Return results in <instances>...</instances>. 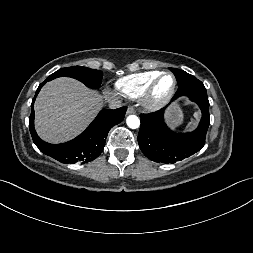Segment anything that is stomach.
Masks as SVG:
<instances>
[{"label":"stomach","instance_id":"obj_1","mask_svg":"<svg viewBox=\"0 0 253 253\" xmlns=\"http://www.w3.org/2000/svg\"><path fill=\"white\" fill-rule=\"evenodd\" d=\"M168 121L173 128L178 127L183 122V113L178 105H174L168 112Z\"/></svg>","mask_w":253,"mask_h":253}]
</instances>
